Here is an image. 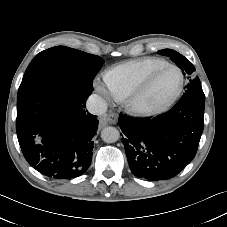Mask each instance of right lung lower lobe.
<instances>
[{"mask_svg": "<svg viewBox=\"0 0 227 227\" xmlns=\"http://www.w3.org/2000/svg\"><path fill=\"white\" fill-rule=\"evenodd\" d=\"M92 91L50 85L17 100L18 141L25 159L40 173L75 178L90 166L98 127L96 116L85 111Z\"/></svg>", "mask_w": 227, "mask_h": 227, "instance_id": "1", "label": "right lung lower lobe"}]
</instances>
